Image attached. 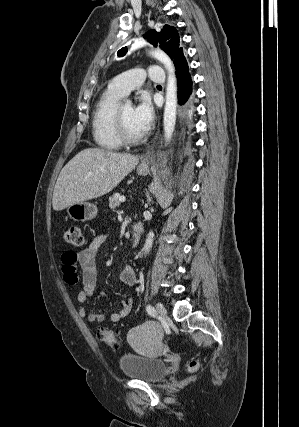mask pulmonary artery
Masks as SVG:
<instances>
[{"mask_svg":"<svg viewBox=\"0 0 299 427\" xmlns=\"http://www.w3.org/2000/svg\"><path fill=\"white\" fill-rule=\"evenodd\" d=\"M146 77L154 82L162 83L165 80L164 69L161 66L154 65L147 70L142 68L128 70L115 77L111 81V87L126 96L132 90L140 87Z\"/></svg>","mask_w":299,"mask_h":427,"instance_id":"pulmonary-artery-1","label":"pulmonary artery"}]
</instances>
